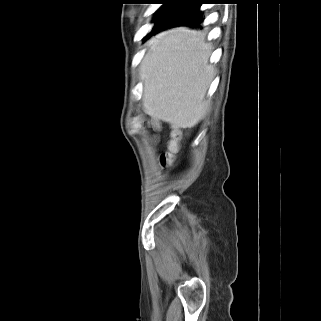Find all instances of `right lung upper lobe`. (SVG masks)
I'll list each match as a JSON object with an SVG mask.
<instances>
[{
	"mask_svg": "<svg viewBox=\"0 0 321 321\" xmlns=\"http://www.w3.org/2000/svg\"><path fill=\"white\" fill-rule=\"evenodd\" d=\"M168 1H173L174 3L172 4L175 5L176 7V6L191 4V3L197 2L198 0H168Z\"/></svg>",
	"mask_w": 321,
	"mask_h": 321,
	"instance_id": "right-lung-upper-lobe-1",
	"label": "right lung upper lobe"
}]
</instances>
